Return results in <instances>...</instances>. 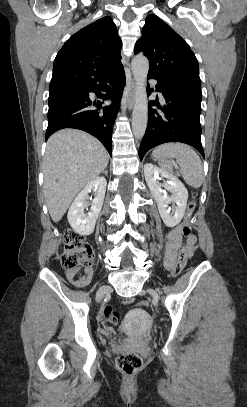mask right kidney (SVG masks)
<instances>
[{
    "label": "right kidney",
    "instance_id": "right-kidney-1",
    "mask_svg": "<svg viewBox=\"0 0 247 407\" xmlns=\"http://www.w3.org/2000/svg\"><path fill=\"white\" fill-rule=\"evenodd\" d=\"M106 185L107 182L104 177H97L89 182L73 201L67 218L69 224L77 233L81 235L93 233L96 220L103 206ZM91 191H96V196L91 203L90 211L85 213V208L89 205L86 199Z\"/></svg>",
    "mask_w": 247,
    "mask_h": 407
}]
</instances>
